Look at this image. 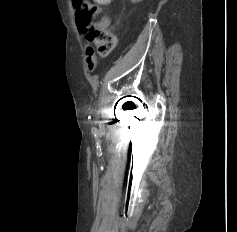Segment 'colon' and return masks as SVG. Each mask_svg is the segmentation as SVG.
I'll return each instance as SVG.
<instances>
[{
    "label": "colon",
    "mask_w": 237,
    "mask_h": 232,
    "mask_svg": "<svg viewBox=\"0 0 237 232\" xmlns=\"http://www.w3.org/2000/svg\"><path fill=\"white\" fill-rule=\"evenodd\" d=\"M112 0H72L74 8L77 9V24L82 33L86 35L87 41L93 43L99 54H109L115 45L112 34L96 18L95 4L106 5Z\"/></svg>",
    "instance_id": "obj_1"
}]
</instances>
